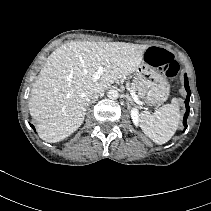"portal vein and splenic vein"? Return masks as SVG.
<instances>
[{"label":"portal vein and splenic vein","instance_id":"portal-vein-and-splenic-vein-1","mask_svg":"<svg viewBox=\"0 0 211 211\" xmlns=\"http://www.w3.org/2000/svg\"><path fill=\"white\" fill-rule=\"evenodd\" d=\"M103 72H104V68L100 66L98 68V70L93 74V80L98 81L100 79L101 75L103 74ZM130 94L135 99V101H138V98H137V95H136L134 89H130Z\"/></svg>","mask_w":211,"mask_h":211}]
</instances>
